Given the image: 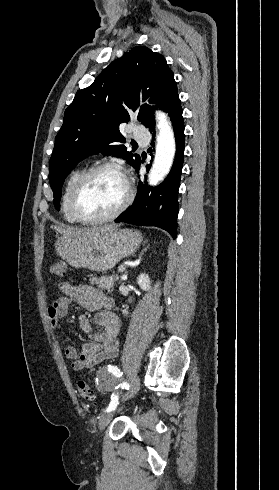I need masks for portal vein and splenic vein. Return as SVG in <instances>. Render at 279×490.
Listing matches in <instances>:
<instances>
[{
	"mask_svg": "<svg viewBox=\"0 0 279 490\" xmlns=\"http://www.w3.org/2000/svg\"><path fill=\"white\" fill-rule=\"evenodd\" d=\"M126 268H124V266H120L119 268V272H125Z\"/></svg>",
	"mask_w": 279,
	"mask_h": 490,
	"instance_id": "1",
	"label": "portal vein and splenic vein"
}]
</instances>
